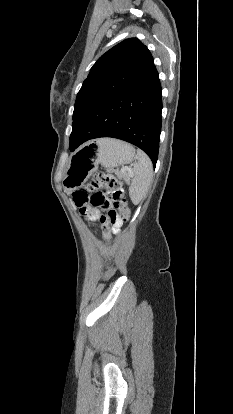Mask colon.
Here are the masks:
<instances>
[{"label": "colon", "instance_id": "colon-1", "mask_svg": "<svg viewBox=\"0 0 233 414\" xmlns=\"http://www.w3.org/2000/svg\"><path fill=\"white\" fill-rule=\"evenodd\" d=\"M73 200L79 208L90 205L104 211L100 223L106 235H108V226L115 219L128 221L130 218V209L122 183L104 173L96 174L87 184L86 190L75 191Z\"/></svg>", "mask_w": 233, "mask_h": 414}]
</instances>
